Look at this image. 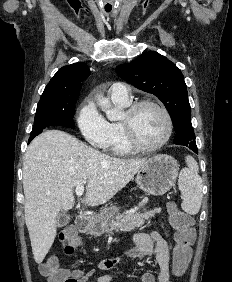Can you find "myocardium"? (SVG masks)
I'll return each instance as SVG.
<instances>
[{
	"mask_svg": "<svg viewBox=\"0 0 232 282\" xmlns=\"http://www.w3.org/2000/svg\"><path fill=\"white\" fill-rule=\"evenodd\" d=\"M145 106H151V107L158 109L163 114L165 121H166V125H167L166 134L164 138L155 145L142 144L137 139L135 131H134V125H133L134 116L142 107H145ZM121 124H122V128L124 131L125 139L127 143L129 144V146L133 150L140 151V152L156 151L162 148L163 146H165L171 139L172 134H173V129H174L173 119L169 111L163 105L153 100H140V101L130 104L125 111Z\"/></svg>",
	"mask_w": 232,
	"mask_h": 282,
	"instance_id": "myocardium-1",
	"label": "myocardium"
}]
</instances>
